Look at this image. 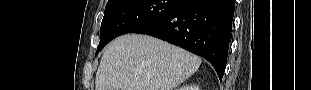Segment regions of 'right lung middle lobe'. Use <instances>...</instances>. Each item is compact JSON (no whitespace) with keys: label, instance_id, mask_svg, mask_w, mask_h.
Returning <instances> with one entry per match:
<instances>
[{"label":"right lung middle lobe","instance_id":"right-lung-middle-lobe-1","mask_svg":"<svg viewBox=\"0 0 311 90\" xmlns=\"http://www.w3.org/2000/svg\"><path fill=\"white\" fill-rule=\"evenodd\" d=\"M181 0H110L100 28V43L96 55L102 48L125 33H136L140 29L160 20L170 13Z\"/></svg>","mask_w":311,"mask_h":90}]
</instances>
